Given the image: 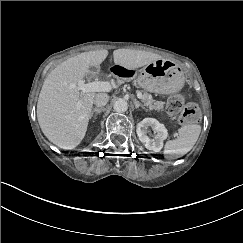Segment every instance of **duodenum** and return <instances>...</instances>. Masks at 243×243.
Masks as SVG:
<instances>
[{"instance_id":"1","label":"duodenum","mask_w":243,"mask_h":243,"mask_svg":"<svg viewBox=\"0 0 243 243\" xmlns=\"http://www.w3.org/2000/svg\"><path fill=\"white\" fill-rule=\"evenodd\" d=\"M110 72L117 78L128 79L134 76L135 70L121 63L114 64Z\"/></svg>"}]
</instances>
